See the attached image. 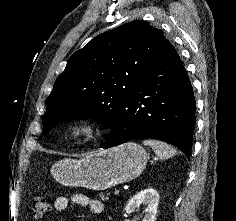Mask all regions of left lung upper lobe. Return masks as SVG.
<instances>
[{
  "mask_svg": "<svg viewBox=\"0 0 236 221\" xmlns=\"http://www.w3.org/2000/svg\"><path fill=\"white\" fill-rule=\"evenodd\" d=\"M167 39L135 20L102 33L68 60L47 100L43 132L58 122L94 118L110 128Z\"/></svg>",
  "mask_w": 236,
  "mask_h": 221,
  "instance_id": "obj_1",
  "label": "left lung upper lobe"
}]
</instances>
